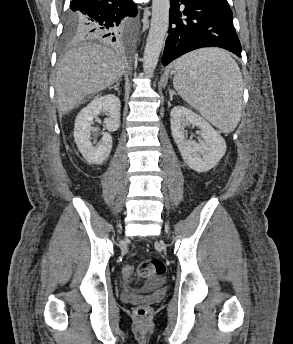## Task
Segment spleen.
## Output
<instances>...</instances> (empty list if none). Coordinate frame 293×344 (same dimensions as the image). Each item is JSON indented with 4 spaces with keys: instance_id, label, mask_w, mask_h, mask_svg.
I'll list each match as a JSON object with an SVG mask.
<instances>
[{
    "instance_id": "1",
    "label": "spleen",
    "mask_w": 293,
    "mask_h": 344,
    "mask_svg": "<svg viewBox=\"0 0 293 344\" xmlns=\"http://www.w3.org/2000/svg\"><path fill=\"white\" fill-rule=\"evenodd\" d=\"M173 85L178 94L223 132L240 120L243 79L235 60L218 48L199 49L179 58Z\"/></svg>"
}]
</instances>
